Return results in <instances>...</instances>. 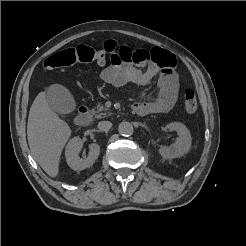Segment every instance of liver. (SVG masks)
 I'll return each mask as SVG.
<instances>
[{
  "instance_id": "6515ba94",
  "label": "liver",
  "mask_w": 246,
  "mask_h": 246,
  "mask_svg": "<svg viewBox=\"0 0 246 246\" xmlns=\"http://www.w3.org/2000/svg\"><path fill=\"white\" fill-rule=\"evenodd\" d=\"M71 133L69 125L51 110L45 92H40L30 107L27 138L33 158L50 177L59 173L61 153Z\"/></svg>"
}]
</instances>
